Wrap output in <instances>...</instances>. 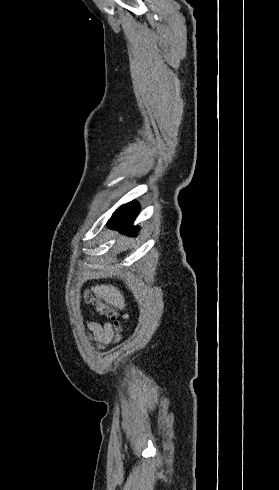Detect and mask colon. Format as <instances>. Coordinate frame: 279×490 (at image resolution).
<instances>
[{
    "instance_id": "colon-1",
    "label": "colon",
    "mask_w": 279,
    "mask_h": 490,
    "mask_svg": "<svg viewBox=\"0 0 279 490\" xmlns=\"http://www.w3.org/2000/svg\"><path fill=\"white\" fill-rule=\"evenodd\" d=\"M89 303L94 307V313L98 316H105L112 321L118 322V317L120 316L116 308L109 305L107 302L101 300L99 297L92 293H88L86 296ZM119 332V329H117Z\"/></svg>"
}]
</instances>
